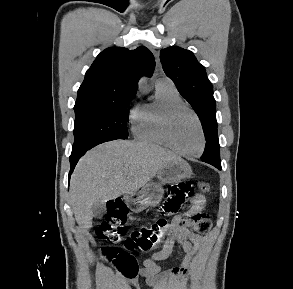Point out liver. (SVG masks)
<instances>
[{
    "mask_svg": "<svg viewBox=\"0 0 293 289\" xmlns=\"http://www.w3.org/2000/svg\"><path fill=\"white\" fill-rule=\"evenodd\" d=\"M181 160L162 147L126 140L101 144L78 162L70 182L71 205L82 228L92 225L93 204L144 187L167 163Z\"/></svg>",
    "mask_w": 293,
    "mask_h": 289,
    "instance_id": "6515ba94",
    "label": "liver"
}]
</instances>
